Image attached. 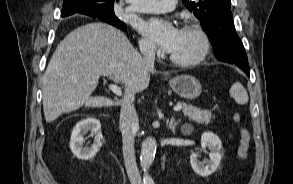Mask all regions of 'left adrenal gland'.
<instances>
[{"label":"left adrenal gland","instance_id":"left-adrenal-gland-1","mask_svg":"<svg viewBox=\"0 0 293 184\" xmlns=\"http://www.w3.org/2000/svg\"><path fill=\"white\" fill-rule=\"evenodd\" d=\"M180 119L178 121H175L174 117L171 118L170 123H169V129L172 131H175L177 125L180 123Z\"/></svg>","mask_w":293,"mask_h":184}]
</instances>
